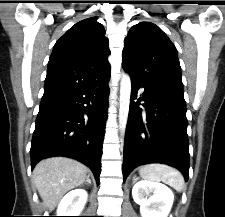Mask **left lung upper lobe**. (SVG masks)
Here are the masks:
<instances>
[{
  "instance_id": "left-lung-upper-lobe-1",
  "label": "left lung upper lobe",
  "mask_w": 225,
  "mask_h": 217,
  "mask_svg": "<svg viewBox=\"0 0 225 217\" xmlns=\"http://www.w3.org/2000/svg\"><path fill=\"white\" fill-rule=\"evenodd\" d=\"M122 57L131 80L149 88L183 93L176 47L155 24L134 25L124 41Z\"/></svg>"
}]
</instances>
